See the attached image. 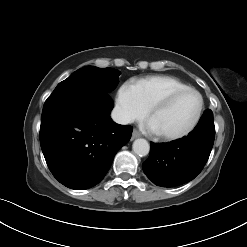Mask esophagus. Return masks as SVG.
I'll return each mask as SVG.
<instances>
[{
	"label": "esophagus",
	"instance_id": "1",
	"mask_svg": "<svg viewBox=\"0 0 247 247\" xmlns=\"http://www.w3.org/2000/svg\"><path fill=\"white\" fill-rule=\"evenodd\" d=\"M139 137H141V134L136 129H134L132 133V139H136Z\"/></svg>",
	"mask_w": 247,
	"mask_h": 247
}]
</instances>
